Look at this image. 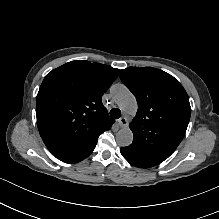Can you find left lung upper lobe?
Segmentation results:
<instances>
[{"mask_svg": "<svg viewBox=\"0 0 219 219\" xmlns=\"http://www.w3.org/2000/svg\"><path fill=\"white\" fill-rule=\"evenodd\" d=\"M120 79L134 94L138 111L130 146L163 162L182 141L191 115L189 97L170 74L153 67H129Z\"/></svg>", "mask_w": 219, "mask_h": 219, "instance_id": "5c2ea615", "label": "left lung upper lobe"}]
</instances>
